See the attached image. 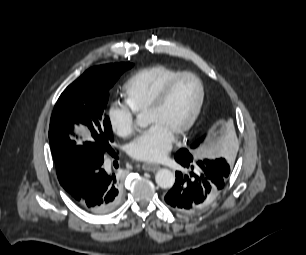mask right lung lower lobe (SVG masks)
Listing matches in <instances>:
<instances>
[{
  "mask_svg": "<svg viewBox=\"0 0 306 255\" xmlns=\"http://www.w3.org/2000/svg\"><path fill=\"white\" fill-rule=\"evenodd\" d=\"M103 163H94L80 172L70 195L83 209L94 214L112 211L120 202L122 180L118 174L107 173Z\"/></svg>",
  "mask_w": 306,
  "mask_h": 255,
  "instance_id": "1",
  "label": "right lung lower lobe"
}]
</instances>
